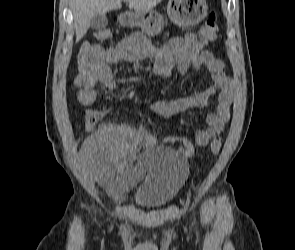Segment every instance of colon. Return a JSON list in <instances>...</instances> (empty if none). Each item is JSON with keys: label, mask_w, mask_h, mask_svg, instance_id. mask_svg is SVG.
<instances>
[{"label": "colon", "mask_w": 295, "mask_h": 250, "mask_svg": "<svg viewBox=\"0 0 295 250\" xmlns=\"http://www.w3.org/2000/svg\"><path fill=\"white\" fill-rule=\"evenodd\" d=\"M218 18L216 13L211 12L205 23L200 28V38L202 42L214 40L218 34ZM111 37V33L107 29H99L94 33L96 43H85L78 53V64L82 68H90L93 51L98 47L97 43L105 42ZM103 112L97 109H88L84 113V124L86 129L92 130L99 120L102 118ZM222 142L219 139L212 140L210 144V152L217 155L220 152Z\"/></svg>", "instance_id": "1"}]
</instances>
